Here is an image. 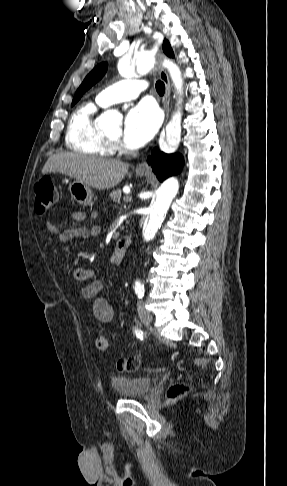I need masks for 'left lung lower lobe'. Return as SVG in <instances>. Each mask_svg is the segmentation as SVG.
I'll return each mask as SVG.
<instances>
[{
  "instance_id": "obj_1",
  "label": "left lung lower lobe",
  "mask_w": 287,
  "mask_h": 486,
  "mask_svg": "<svg viewBox=\"0 0 287 486\" xmlns=\"http://www.w3.org/2000/svg\"><path fill=\"white\" fill-rule=\"evenodd\" d=\"M153 172L162 182L169 176L178 174L184 164L180 154H165L156 148L152 151L151 157L148 158Z\"/></svg>"
}]
</instances>
